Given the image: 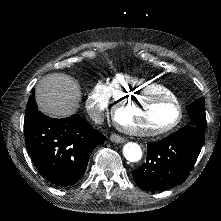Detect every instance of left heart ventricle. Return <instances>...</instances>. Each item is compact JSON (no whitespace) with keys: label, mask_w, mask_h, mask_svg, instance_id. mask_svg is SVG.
I'll use <instances>...</instances> for the list:
<instances>
[{"label":"left heart ventricle","mask_w":221,"mask_h":221,"mask_svg":"<svg viewBox=\"0 0 221 221\" xmlns=\"http://www.w3.org/2000/svg\"><path fill=\"white\" fill-rule=\"evenodd\" d=\"M121 123L145 124L147 127H161L171 125L176 120V107L171 102L161 104H142L138 108H121L117 114Z\"/></svg>","instance_id":"left-heart-ventricle-1"}]
</instances>
